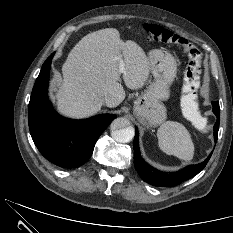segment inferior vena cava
Returning <instances> with one entry per match:
<instances>
[{
	"instance_id": "inferior-vena-cava-1",
	"label": "inferior vena cava",
	"mask_w": 233,
	"mask_h": 233,
	"mask_svg": "<svg viewBox=\"0 0 233 233\" xmlns=\"http://www.w3.org/2000/svg\"><path fill=\"white\" fill-rule=\"evenodd\" d=\"M102 104L106 105L108 107H112L113 106V100L110 96H106L102 99Z\"/></svg>"
}]
</instances>
